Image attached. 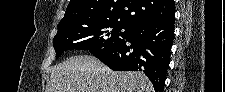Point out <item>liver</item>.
Instances as JSON below:
<instances>
[{
	"label": "liver",
	"instance_id": "6515ba94",
	"mask_svg": "<svg viewBox=\"0 0 225 92\" xmlns=\"http://www.w3.org/2000/svg\"><path fill=\"white\" fill-rule=\"evenodd\" d=\"M142 72L113 71L91 55H76L52 68L46 92H153Z\"/></svg>",
	"mask_w": 225,
	"mask_h": 92
}]
</instances>
